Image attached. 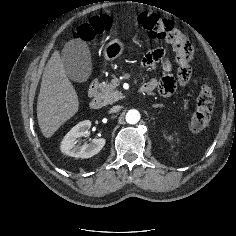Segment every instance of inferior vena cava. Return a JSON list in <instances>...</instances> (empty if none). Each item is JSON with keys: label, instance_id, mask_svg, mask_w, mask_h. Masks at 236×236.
<instances>
[{"label": "inferior vena cava", "instance_id": "obj_1", "mask_svg": "<svg viewBox=\"0 0 236 236\" xmlns=\"http://www.w3.org/2000/svg\"><path fill=\"white\" fill-rule=\"evenodd\" d=\"M120 109H121V106H113L109 112L115 113V112H118Z\"/></svg>", "mask_w": 236, "mask_h": 236}]
</instances>
